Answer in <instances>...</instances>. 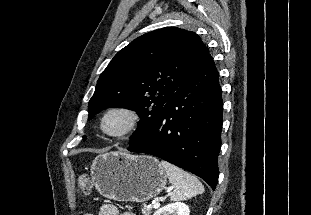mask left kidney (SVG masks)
Masks as SVG:
<instances>
[{
	"mask_svg": "<svg viewBox=\"0 0 311 215\" xmlns=\"http://www.w3.org/2000/svg\"><path fill=\"white\" fill-rule=\"evenodd\" d=\"M190 209L188 205L182 202L168 204L158 209L154 215H189Z\"/></svg>",
	"mask_w": 311,
	"mask_h": 215,
	"instance_id": "obj_1",
	"label": "left kidney"
}]
</instances>
